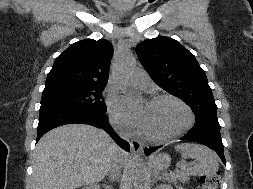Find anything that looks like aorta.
I'll return each mask as SVG.
<instances>
[{
	"label": "aorta",
	"instance_id": "aorta-1",
	"mask_svg": "<svg viewBox=\"0 0 253 189\" xmlns=\"http://www.w3.org/2000/svg\"><path fill=\"white\" fill-rule=\"evenodd\" d=\"M136 68V62L132 55L125 52L117 62L115 66V75L118 81H123L124 78ZM128 99L130 102L135 103L136 97L134 95H129ZM147 168L145 162L142 158H136L133 165V178L135 180L136 186H142L143 181L146 178Z\"/></svg>",
	"mask_w": 253,
	"mask_h": 189
}]
</instances>
